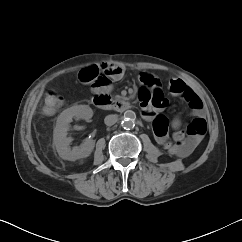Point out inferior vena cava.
Returning <instances> with one entry per match:
<instances>
[{
  "mask_svg": "<svg viewBox=\"0 0 242 242\" xmlns=\"http://www.w3.org/2000/svg\"><path fill=\"white\" fill-rule=\"evenodd\" d=\"M118 121V116L116 114L107 115L104 119V123L107 126H112Z\"/></svg>",
  "mask_w": 242,
  "mask_h": 242,
  "instance_id": "1",
  "label": "inferior vena cava"
}]
</instances>
